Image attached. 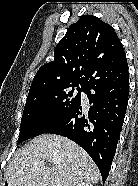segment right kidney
I'll list each match as a JSON object with an SVG mask.
<instances>
[{
	"instance_id": "obj_1",
	"label": "right kidney",
	"mask_w": 138,
	"mask_h": 186,
	"mask_svg": "<svg viewBox=\"0 0 138 186\" xmlns=\"http://www.w3.org/2000/svg\"><path fill=\"white\" fill-rule=\"evenodd\" d=\"M76 186H92L90 183H80Z\"/></svg>"
}]
</instances>
